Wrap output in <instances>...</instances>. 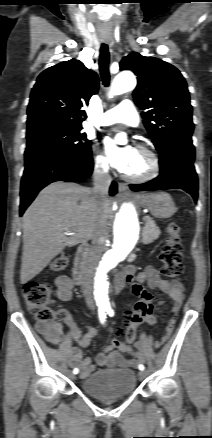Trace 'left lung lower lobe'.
Listing matches in <instances>:
<instances>
[{
  "mask_svg": "<svg viewBox=\"0 0 212 438\" xmlns=\"http://www.w3.org/2000/svg\"><path fill=\"white\" fill-rule=\"evenodd\" d=\"M160 175L143 184H131L133 191L183 189L198 197V178L194 168L195 148L191 139L167 143L159 151Z\"/></svg>",
  "mask_w": 212,
  "mask_h": 438,
  "instance_id": "0a47b994",
  "label": "left lung lower lobe"
}]
</instances>
